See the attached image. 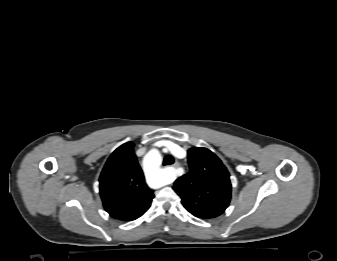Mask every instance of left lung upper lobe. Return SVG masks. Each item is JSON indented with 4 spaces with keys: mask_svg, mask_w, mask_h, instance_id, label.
I'll return each mask as SVG.
<instances>
[{
    "mask_svg": "<svg viewBox=\"0 0 337 261\" xmlns=\"http://www.w3.org/2000/svg\"><path fill=\"white\" fill-rule=\"evenodd\" d=\"M190 171L173 186L185 209L201 219L215 218L228 207L231 199L229 172L209 149L188 150Z\"/></svg>",
    "mask_w": 337,
    "mask_h": 261,
    "instance_id": "left-lung-upper-lobe-1",
    "label": "left lung upper lobe"
}]
</instances>
